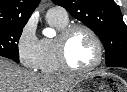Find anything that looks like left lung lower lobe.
<instances>
[{
    "label": "left lung lower lobe",
    "instance_id": "1",
    "mask_svg": "<svg viewBox=\"0 0 127 92\" xmlns=\"http://www.w3.org/2000/svg\"><path fill=\"white\" fill-rule=\"evenodd\" d=\"M107 66L124 67L127 68V55L117 57L106 63Z\"/></svg>",
    "mask_w": 127,
    "mask_h": 92
}]
</instances>
